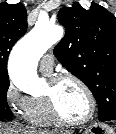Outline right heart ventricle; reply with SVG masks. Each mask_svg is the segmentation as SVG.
Segmentation results:
<instances>
[{
    "label": "right heart ventricle",
    "mask_w": 116,
    "mask_h": 134,
    "mask_svg": "<svg viewBox=\"0 0 116 134\" xmlns=\"http://www.w3.org/2000/svg\"><path fill=\"white\" fill-rule=\"evenodd\" d=\"M25 116L30 122L39 126H51L56 122L42 97H31V106Z\"/></svg>",
    "instance_id": "1"
}]
</instances>
